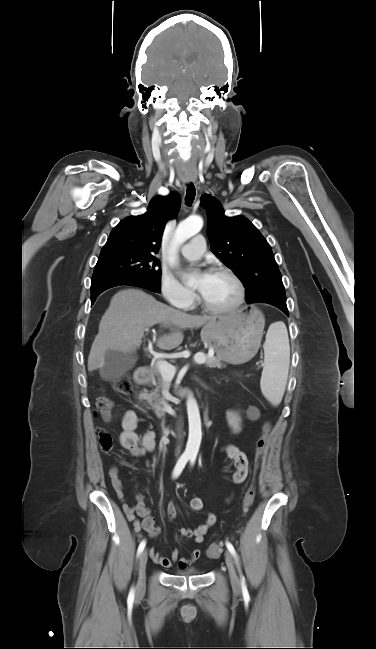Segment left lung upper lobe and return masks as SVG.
Wrapping results in <instances>:
<instances>
[{
    "instance_id": "1",
    "label": "left lung upper lobe",
    "mask_w": 376,
    "mask_h": 649,
    "mask_svg": "<svg viewBox=\"0 0 376 649\" xmlns=\"http://www.w3.org/2000/svg\"><path fill=\"white\" fill-rule=\"evenodd\" d=\"M213 253L235 270L247 286V303L278 302L286 305L281 273L270 245L245 217H226L220 202L202 195Z\"/></svg>"
}]
</instances>
